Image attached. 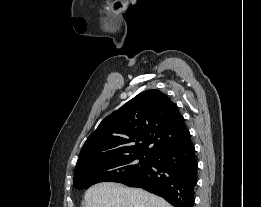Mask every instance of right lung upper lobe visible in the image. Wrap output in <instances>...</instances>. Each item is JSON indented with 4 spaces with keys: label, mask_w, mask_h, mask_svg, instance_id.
Segmentation results:
<instances>
[{
    "label": "right lung upper lobe",
    "mask_w": 261,
    "mask_h": 207,
    "mask_svg": "<svg viewBox=\"0 0 261 207\" xmlns=\"http://www.w3.org/2000/svg\"><path fill=\"white\" fill-rule=\"evenodd\" d=\"M189 139L190 133L178 107L159 90H147L99 124L84 143L76 169L118 156L152 157Z\"/></svg>",
    "instance_id": "cb5924a9"
}]
</instances>
